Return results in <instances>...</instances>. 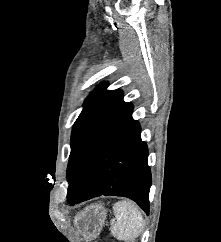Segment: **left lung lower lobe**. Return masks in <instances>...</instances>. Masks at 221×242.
<instances>
[{
	"mask_svg": "<svg viewBox=\"0 0 221 242\" xmlns=\"http://www.w3.org/2000/svg\"><path fill=\"white\" fill-rule=\"evenodd\" d=\"M147 145L132 111L110 129L89 151L69 183L70 205L100 195L131 198L148 214L151 172Z\"/></svg>",
	"mask_w": 221,
	"mask_h": 242,
	"instance_id": "obj_1",
	"label": "left lung lower lobe"
}]
</instances>
